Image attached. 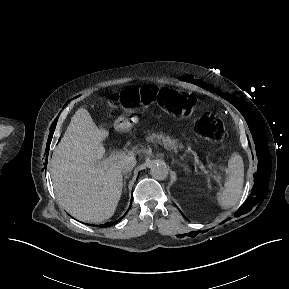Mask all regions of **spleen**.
Wrapping results in <instances>:
<instances>
[{
    "label": "spleen",
    "instance_id": "1",
    "mask_svg": "<svg viewBox=\"0 0 289 289\" xmlns=\"http://www.w3.org/2000/svg\"><path fill=\"white\" fill-rule=\"evenodd\" d=\"M225 172L227 176L223 189L217 195V202L222 209H229L238 203L244 183V164L238 153L231 156Z\"/></svg>",
    "mask_w": 289,
    "mask_h": 289
}]
</instances>
